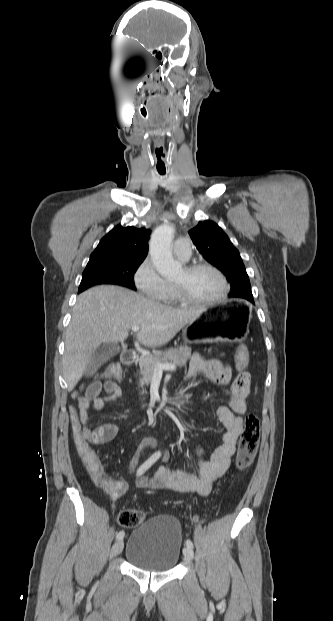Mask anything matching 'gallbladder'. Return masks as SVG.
I'll return each mask as SVG.
<instances>
[{
  "label": "gallbladder",
  "mask_w": 333,
  "mask_h": 621,
  "mask_svg": "<svg viewBox=\"0 0 333 621\" xmlns=\"http://www.w3.org/2000/svg\"><path fill=\"white\" fill-rule=\"evenodd\" d=\"M120 346L117 343L108 342L104 343L95 353L94 358L88 368L85 370V375H92L96 369L103 363L107 362L114 355L120 352Z\"/></svg>",
  "instance_id": "gallbladder-1"
}]
</instances>
